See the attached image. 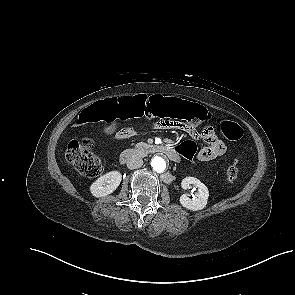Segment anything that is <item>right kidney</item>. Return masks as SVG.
<instances>
[{
	"label": "right kidney",
	"instance_id": "obj_1",
	"mask_svg": "<svg viewBox=\"0 0 295 295\" xmlns=\"http://www.w3.org/2000/svg\"><path fill=\"white\" fill-rule=\"evenodd\" d=\"M122 175L118 171H111L99 177L90 186V192L93 196L99 198L113 193L120 185Z\"/></svg>",
	"mask_w": 295,
	"mask_h": 295
}]
</instances>
